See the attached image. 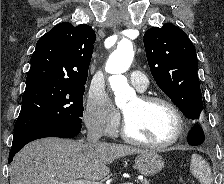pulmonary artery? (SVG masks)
<instances>
[{
    "label": "pulmonary artery",
    "instance_id": "pulmonary-artery-1",
    "mask_svg": "<svg viewBox=\"0 0 224 184\" xmlns=\"http://www.w3.org/2000/svg\"><path fill=\"white\" fill-rule=\"evenodd\" d=\"M129 79L138 91H144L148 87L147 77L140 71H131Z\"/></svg>",
    "mask_w": 224,
    "mask_h": 184
}]
</instances>
